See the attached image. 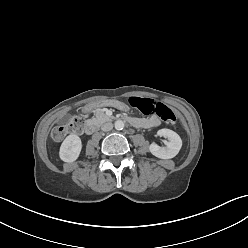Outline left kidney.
I'll list each match as a JSON object with an SVG mask.
<instances>
[{
	"label": "left kidney",
	"instance_id": "left-kidney-1",
	"mask_svg": "<svg viewBox=\"0 0 248 248\" xmlns=\"http://www.w3.org/2000/svg\"><path fill=\"white\" fill-rule=\"evenodd\" d=\"M157 135L168 138V141L165 142V147H160L152 143L149 147L150 152L160 159H171L175 157L182 147L180 136L170 129H160Z\"/></svg>",
	"mask_w": 248,
	"mask_h": 248
}]
</instances>
